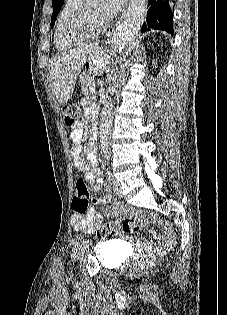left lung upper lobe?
I'll use <instances>...</instances> for the list:
<instances>
[{
    "label": "left lung upper lobe",
    "mask_w": 227,
    "mask_h": 315,
    "mask_svg": "<svg viewBox=\"0 0 227 315\" xmlns=\"http://www.w3.org/2000/svg\"><path fill=\"white\" fill-rule=\"evenodd\" d=\"M64 3V0H52V5H53V14H52V20H51V27H53L56 17L61 10V7Z\"/></svg>",
    "instance_id": "obj_1"
}]
</instances>
